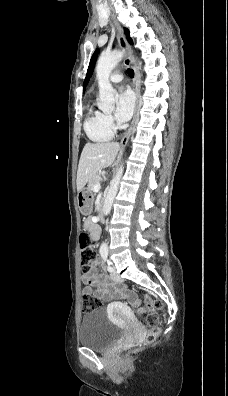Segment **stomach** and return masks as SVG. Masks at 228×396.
<instances>
[{"label": "stomach", "mask_w": 228, "mask_h": 396, "mask_svg": "<svg viewBox=\"0 0 228 396\" xmlns=\"http://www.w3.org/2000/svg\"><path fill=\"white\" fill-rule=\"evenodd\" d=\"M94 195L89 188H83L77 194V204L83 215H89L93 208Z\"/></svg>", "instance_id": "obj_1"}]
</instances>
